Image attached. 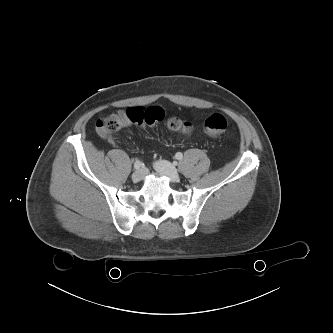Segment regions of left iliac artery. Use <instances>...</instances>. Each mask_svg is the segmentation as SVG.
I'll return each instance as SVG.
<instances>
[{
	"label": "left iliac artery",
	"instance_id": "obj_1",
	"mask_svg": "<svg viewBox=\"0 0 333 333\" xmlns=\"http://www.w3.org/2000/svg\"><path fill=\"white\" fill-rule=\"evenodd\" d=\"M175 158L177 160H181L183 158V154L181 152H177L176 155H175Z\"/></svg>",
	"mask_w": 333,
	"mask_h": 333
}]
</instances>
